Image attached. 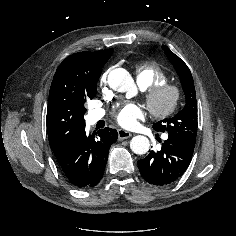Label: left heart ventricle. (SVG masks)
<instances>
[{"mask_svg": "<svg viewBox=\"0 0 236 236\" xmlns=\"http://www.w3.org/2000/svg\"><path fill=\"white\" fill-rule=\"evenodd\" d=\"M168 101H169V95L165 94L160 98V105L164 106L168 103Z\"/></svg>", "mask_w": 236, "mask_h": 236, "instance_id": "b2bd125f", "label": "left heart ventricle"}]
</instances>
